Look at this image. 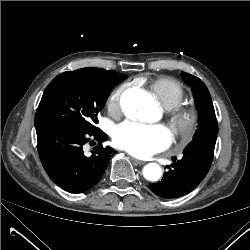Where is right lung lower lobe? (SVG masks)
Returning a JSON list of instances; mask_svg holds the SVG:
<instances>
[{
	"mask_svg": "<svg viewBox=\"0 0 250 250\" xmlns=\"http://www.w3.org/2000/svg\"><path fill=\"white\" fill-rule=\"evenodd\" d=\"M38 153L49 177L71 193H81L95 185L105 172L110 158L117 153L110 147L97 146L85 156L83 146L90 139H107L101 131L77 126L40 124L36 126Z\"/></svg>",
	"mask_w": 250,
	"mask_h": 250,
	"instance_id": "obj_1",
	"label": "right lung lower lobe"
}]
</instances>
